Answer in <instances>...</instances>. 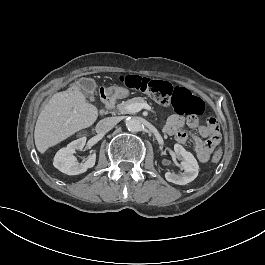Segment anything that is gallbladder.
<instances>
[{
    "mask_svg": "<svg viewBox=\"0 0 265 265\" xmlns=\"http://www.w3.org/2000/svg\"><path fill=\"white\" fill-rule=\"evenodd\" d=\"M78 84L81 86V87H85L86 90L91 93V94H94V90H95V85L89 81L88 79H85V78H81L79 81H78ZM92 101H95V97H92Z\"/></svg>",
    "mask_w": 265,
    "mask_h": 265,
    "instance_id": "gallbladder-1",
    "label": "gallbladder"
}]
</instances>
